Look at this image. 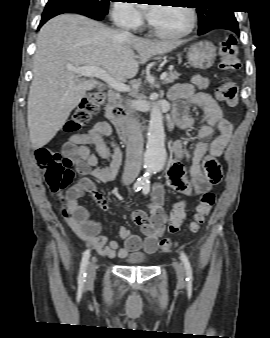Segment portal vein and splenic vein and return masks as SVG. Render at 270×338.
<instances>
[{"label": "portal vein and splenic vein", "instance_id": "portal-vein-and-splenic-vein-1", "mask_svg": "<svg viewBox=\"0 0 270 338\" xmlns=\"http://www.w3.org/2000/svg\"><path fill=\"white\" fill-rule=\"evenodd\" d=\"M67 70L70 72H73L79 76H87V77H96L99 78L103 81H105L110 87L115 89L116 91L119 92H127L130 90V87L127 86L124 83H119L115 81L113 78H111L108 73L99 67H94V66H84V67H72L68 66ZM167 77V72H163L160 76L161 80L166 79Z\"/></svg>", "mask_w": 270, "mask_h": 338}]
</instances>
